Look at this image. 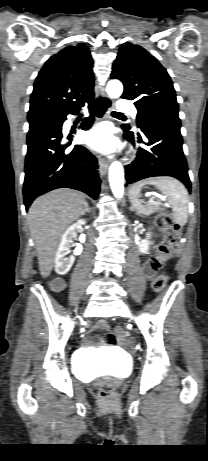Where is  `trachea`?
Instances as JSON below:
<instances>
[{"label": "trachea", "mask_w": 208, "mask_h": 461, "mask_svg": "<svg viewBox=\"0 0 208 461\" xmlns=\"http://www.w3.org/2000/svg\"><path fill=\"white\" fill-rule=\"evenodd\" d=\"M96 101H97L98 103L109 102V101H108L107 99H105V98H98ZM112 114H113V115L123 116V114L120 113V112H112Z\"/></svg>", "instance_id": "trachea-1"}]
</instances>
